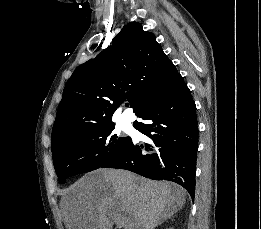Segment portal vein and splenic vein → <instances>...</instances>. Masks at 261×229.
<instances>
[{
	"mask_svg": "<svg viewBox=\"0 0 261 229\" xmlns=\"http://www.w3.org/2000/svg\"><path fill=\"white\" fill-rule=\"evenodd\" d=\"M118 229H122V227H118Z\"/></svg>",
	"mask_w": 261,
	"mask_h": 229,
	"instance_id": "18ae733b",
	"label": "portal vein and splenic vein"
}]
</instances>
